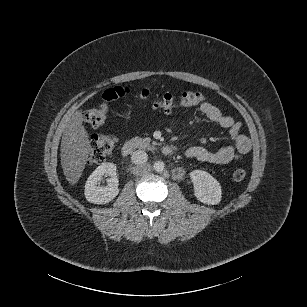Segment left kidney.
Wrapping results in <instances>:
<instances>
[{
    "mask_svg": "<svg viewBox=\"0 0 307 307\" xmlns=\"http://www.w3.org/2000/svg\"><path fill=\"white\" fill-rule=\"evenodd\" d=\"M190 178L194 186V194L202 203L216 205L221 201V186L208 172L193 170Z\"/></svg>",
    "mask_w": 307,
    "mask_h": 307,
    "instance_id": "left-kidney-1",
    "label": "left kidney"
}]
</instances>
